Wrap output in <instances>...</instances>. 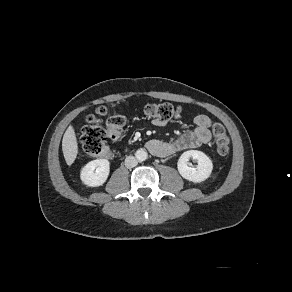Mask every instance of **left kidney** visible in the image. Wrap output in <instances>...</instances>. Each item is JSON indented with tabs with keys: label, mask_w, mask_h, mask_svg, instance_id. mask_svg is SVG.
I'll return each mask as SVG.
<instances>
[{
	"label": "left kidney",
	"mask_w": 292,
	"mask_h": 292,
	"mask_svg": "<svg viewBox=\"0 0 292 292\" xmlns=\"http://www.w3.org/2000/svg\"><path fill=\"white\" fill-rule=\"evenodd\" d=\"M190 158L197 160L198 165L196 168L192 167L189 163ZM177 168L184 179L194 183H199L210 176L213 164L205 153L198 150H189L180 156Z\"/></svg>",
	"instance_id": "1"
}]
</instances>
